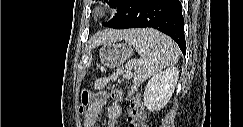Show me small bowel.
Instances as JSON below:
<instances>
[{
    "label": "small bowel",
    "mask_w": 243,
    "mask_h": 127,
    "mask_svg": "<svg viewBox=\"0 0 243 127\" xmlns=\"http://www.w3.org/2000/svg\"><path fill=\"white\" fill-rule=\"evenodd\" d=\"M105 108L107 110L105 127H116L122 113V107L117 101L109 102L107 98L90 104L84 115V126L93 127L96 124L98 116Z\"/></svg>",
    "instance_id": "c3829d8e"
}]
</instances>
